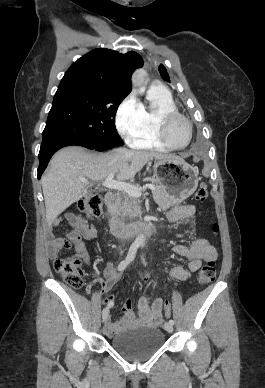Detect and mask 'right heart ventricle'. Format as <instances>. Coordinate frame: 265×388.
Instances as JSON below:
<instances>
[{
	"label": "right heart ventricle",
	"mask_w": 265,
	"mask_h": 388,
	"mask_svg": "<svg viewBox=\"0 0 265 388\" xmlns=\"http://www.w3.org/2000/svg\"><path fill=\"white\" fill-rule=\"evenodd\" d=\"M148 106L142 104V128L132 139V144L136 148L149 149L154 151H168L166 146L157 134V119L159 114L168 109L176 110L175 103L168 91L159 89L158 91H146Z\"/></svg>",
	"instance_id": "obj_1"
}]
</instances>
